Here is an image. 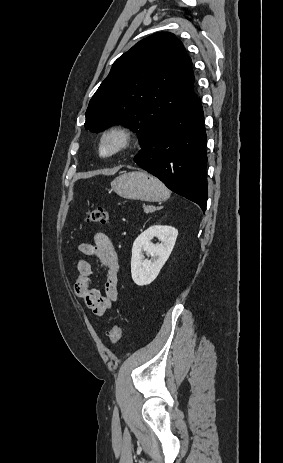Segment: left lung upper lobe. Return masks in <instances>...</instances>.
Returning <instances> with one entry per match:
<instances>
[{
  "mask_svg": "<svg viewBox=\"0 0 283 463\" xmlns=\"http://www.w3.org/2000/svg\"><path fill=\"white\" fill-rule=\"evenodd\" d=\"M192 62L172 33H155L113 64L91 98L86 129L99 132L123 123L137 132L143 147L154 131L196 94Z\"/></svg>",
  "mask_w": 283,
  "mask_h": 463,
  "instance_id": "left-lung-upper-lobe-1",
  "label": "left lung upper lobe"
}]
</instances>
